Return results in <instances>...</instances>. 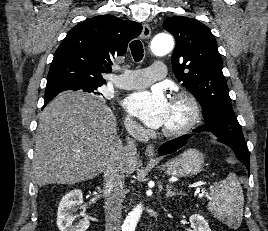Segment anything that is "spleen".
<instances>
[{
  "instance_id": "spleen-1",
  "label": "spleen",
  "mask_w": 268,
  "mask_h": 231,
  "mask_svg": "<svg viewBox=\"0 0 268 231\" xmlns=\"http://www.w3.org/2000/svg\"><path fill=\"white\" fill-rule=\"evenodd\" d=\"M244 195L235 174L215 182L210 187L208 208L218 220L231 228H238L243 218Z\"/></svg>"
}]
</instances>
